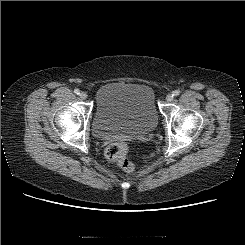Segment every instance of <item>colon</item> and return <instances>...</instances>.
Segmentation results:
<instances>
[{"mask_svg": "<svg viewBox=\"0 0 245 245\" xmlns=\"http://www.w3.org/2000/svg\"><path fill=\"white\" fill-rule=\"evenodd\" d=\"M129 146L124 142H116L106 149V157L125 172H132L133 163L128 159Z\"/></svg>", "mask_w": 245, "mask_h": 245, "instance_id": "obj_1", "label": "colon"}]
</instances>
